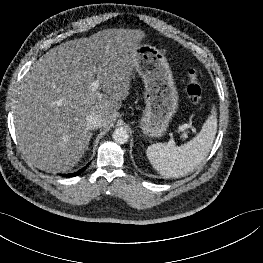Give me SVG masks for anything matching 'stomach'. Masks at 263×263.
I'll return each instance as SVG.
<instances>
[{"mask_svg": "<svg viewBox=\"0 0 263 263\" xmlns=\"http://www.w3.org/2000/svg\"><path fill=\"white\" fill-rule=\"evenodd\" d=\"M133 61L145 85L140 127L145 136L160 138L167 132L179 105L169 63L160 50L149 44L138 45Z\"/></svg>", "mask_w": 263, "mask_h": 263, "instance_id": "0dacf381", "label": "stomach"}]
</instances>
